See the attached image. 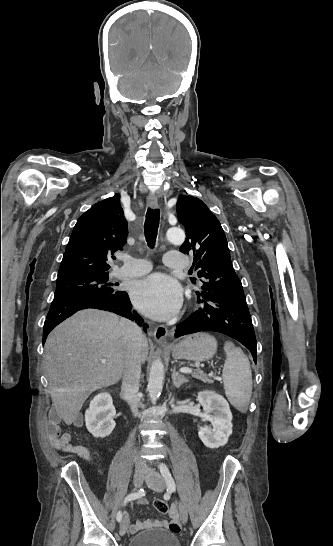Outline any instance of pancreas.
<instances>
[{"instance_id": "pancreas-1", "label": "pancreas", "mask_w": 333, "mask_h": 546, "mask_svg": "<svg viewBox=\"0 0 333 546\" xmlns=\"http://www.w3.org/2000/svg\"><path fill=\"white\" fill-rule=\"evenodd\" d=\"M192 376H193L194 378L198 379V380L203 381V382H207V383H212V382H213L211 379H209V378L207 377L206 374H204V373H203L202 371H200V370H196V371L192 374Z\"/></svg>"}]
</instances>
